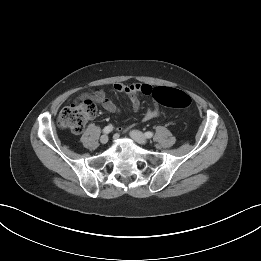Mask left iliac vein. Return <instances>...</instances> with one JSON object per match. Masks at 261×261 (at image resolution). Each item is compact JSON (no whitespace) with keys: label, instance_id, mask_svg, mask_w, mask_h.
Listing matches in <instances>:
<instances>
[{"label":"left iliac vein","instance_id":"1","mask_svg":"<svg viewBox=\"0 0 261 261\" xmlns=\"http://www.w3.org/2000/svg\"><path fill=\"white\" fill-rule=\"evenodd\" d=\"M130 136L133 140H135L137 143L141 144V145H145L147 144L148 140L145 137L144 134H142L140 131L138 130H132L130 132Z\"/></svg>","mask_w":261,"mask_h":261}]
</instances>
